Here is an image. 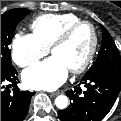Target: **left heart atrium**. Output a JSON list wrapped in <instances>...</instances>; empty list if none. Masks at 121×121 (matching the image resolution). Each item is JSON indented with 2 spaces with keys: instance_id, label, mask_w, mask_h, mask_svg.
Returning a JSON list of instances; mask_svg holds the SVG:
<instances>
[{
  "instance_id": "obj_1",
  "label": "left heart atrium",
  "mask_w": 121,
  "mask_h": 121,
  "mask_svg": "<svg viewBox=\"0 0 121 121\" xmlns=\"http://www.w3.org/2000/svg\"><path fill=\"white\" fill-rule=\"evenodd\" d=\"M69 69L63 60L53 55L24 71L25 85L33 89L53 90L66 80Z\"/></svg>"
}]
</instances>
